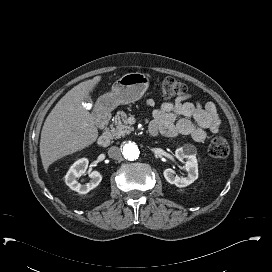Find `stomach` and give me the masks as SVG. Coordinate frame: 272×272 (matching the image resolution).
<instances>
[{
	"label": "stomach",
	"instance_id": "1",
	"mask_svg": "<svg viewBox=\"0 0 272 272\" xmlns=\"http://www.w3.org/2000/svg\"><path fill=\"white\" fill-rule=\"evenodd\" d=\"M149 86V78L143 73H128L112 85V91L104 94L100 101L107 110H113L120 104H129L139 100Z\"/></svg>",
	"mask_w": 272,
	"mask_h": 272
}]
</instances>
